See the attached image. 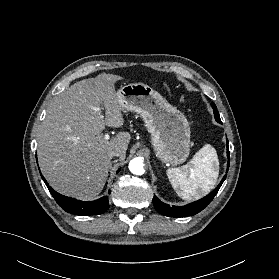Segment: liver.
Segmentation results:
<instances>
[{
  "label": "liver",
  "instance_id": "6515ba94",
  "mask_svg": "<svg viewBox=\"0 0 279 279\" xmlns=\"http://www.w3.org/2000/svg\"><path fill=\"white\" fill-rule=\"evenodd\" d=\"M121 79L104 73L81 80L51 103L37 134V153L43 175L57 192L93 200L107 180L110 151L121 150L119 158L125 159L130 134L119 132L111 140L102 135L105 126L119 128L124 124L115 90Z\"/></svg>",
  "mask_w": 279,
  "mask_h": 279
}]
</instances>
